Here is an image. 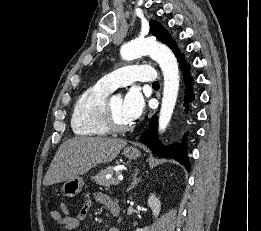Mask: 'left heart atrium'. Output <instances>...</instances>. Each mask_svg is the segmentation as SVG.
Wrapping results in <instances>:
<instances>
[{
    "mask_svg": "<svg viewBox=\"0 0 261 231\" xmlns=\"http://www.w3.org/2000/svg\"><path fill=\"white\" fill-rule=\"evenodd\" d=\"M145 101L138 88H131L123 99V109L126 117L132 122L143 113Z\"/></svg>",
    "mask_w": 261,
    "mask_h": 231,
    "instance_id": "obj_1",
    "label": "left heart atrium"
}]
</instances>
